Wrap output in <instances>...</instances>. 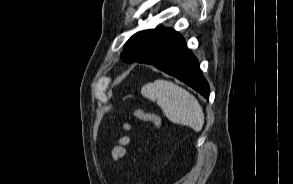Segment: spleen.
<instances>
[{
    "label": "spleen",
    "instance_id": "3e777b00",
    "mask_svg": "<svg viewBox=\"0 0 293 184\" xmlns=\"http://www.w3.org/2000/svg\"><path fill=\"white\" fill-rule=\"evenodd\" d=\"M141 94L156 102L171 122L201 131L204 125L203 109L186 89L172 81L157 79L144 85Z\"/></svg>",
    "mask_w": 293,
    "mask_h": 184
}]
</instances>
